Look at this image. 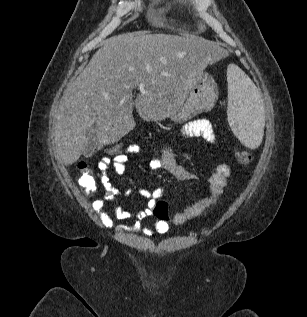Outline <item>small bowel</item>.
I'll return each mask as SVG.
<instances>
[{
	"instance_id": "obj_1",
	"label": "small bowel",
	"mask_w": 307,
	"mask_h": 317,
	"mask_svg": "<svg viewBox=\"0 0 307 317\" xmlns=\"http://www.w3.org/2000/svg\"><path fill=\"white\" fill-rule=\"evenodd\" d=\"M180 135L185 138L202 137L211 143L215 142L216 140L213 126L211 122L205 118L193 120L184 125L180 131ZM140 150V146L134 144L131 146L130 153L138 154ZM127 161V157L112 159L108 156H105L98 164L100 181L105 192L103 197L94 200L91 206L106 228L113 227V219L110 213L106 210V203L116 201L117 197L120 195L130 194V190L119 191L111 184L109 179V170L110 168H113L117 173L123 174L126 171ZM149 167L151 170L164 169L172 176L182 181H193L200 179L198 175L191 173L176 162L171 149V144H167L162 148H156L154 150V156L149 162ZM230 174L231 167L228 164H219L215 171L204 178L207 183V193L196 203L187 207L184 211L175 213L172 218L173 223L180 225L184 224L188 220L203 216L218 201L225 186L227 185ZM163 193L164 189L162 187H158L153 190L141 188L139 190V194L147 199L146 208L136 213H131L121 210L117 207L115 209L114 215L118 220L135 219V222L133 223V230L139 231L141 229L140 222L152 216L156 200L160 198ZM118 228L123 227L119 226ZM154 228L158 233L164 234L168 231L169 227L166 222L158 221L155 223ZM142 232L145 235L150 236L153 233V228L149 226L143 227Z\"/></svg>"
}]
</instances>
